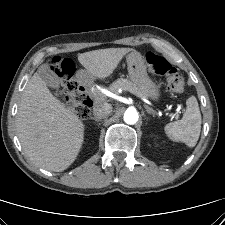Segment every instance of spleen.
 Instances as JSON below:
<instances>
[{
  "instance_id": "obj_1",
  "label": "spleen",
  "mask_w": 225,
  "mask_h": 225,
  "mask_svg": "<svg viewBox=\"0 0 225 225\" xmlns=\"http://www.w3.org/2000/svg\"><path fill=\"white\" fill-rule=\"evenodd\" d=\"M186 105L182 119L168 123L164 131L170 140L194 147L200 136L201 113L195 96L189 97Z\"/></svg>"
}]
</instances>
